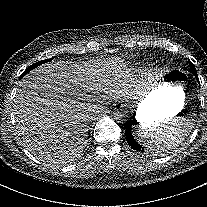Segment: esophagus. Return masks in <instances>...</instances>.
<instances>
[{"instance_id": "obj_1", "label": "esophagus", "mask_w": 207, "mask_h": 207, "mask_svg": "<svg viewBox=\"0 0 207 207\" xmlns=\"http://www.w3.org/2000/svg\"><path fill=\"white\" fill-rule=\"evenodd\" d=\"M114 105H115V107L118 108V109H119V108H124V107H125L124 103H123L121 100L116 101Z\"/></svg>"}]
</instances>
